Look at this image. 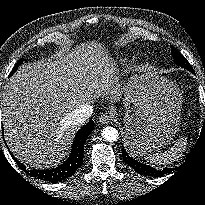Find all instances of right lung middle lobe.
Masks as SVG:
<instances>
[{"label": "right lung middle lobe", "instance_id": "right-lung-middle-lobe-1", "mask_svg": "<svg viewBox=\"0 0 205 205\" xmlns=\"http://www.w3.org/2000/svg\"><path fill=\"white\" fill-rule=\"evenodd\" d=\"M23 60H19L18 63L15 65V67L13 68L11 75L17 70V68L19 67V65L21 64Z\"/></svg>", "mask_w": 205, "mask_h": 205}]
</instances>
